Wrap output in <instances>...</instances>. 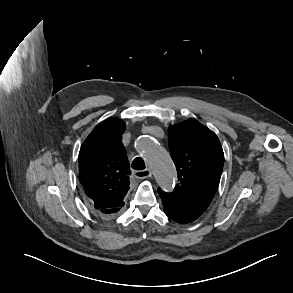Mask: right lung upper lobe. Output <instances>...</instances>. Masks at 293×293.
Returning a JSON list of instances; mask_svg holds the SVG:
<instances>
[{
  "instance_id": "cb5924a9",
  "label": "right lung upper lobe",
  "mask_w": 293,
  "mask_h": 293,
  "mask_svg": "<svg viewBox=\"0 0 293 293\" xmlns=\"http://www.w3.org/2000/svg\"><path fill=\"white\" fill-rule=\"evenodd\" d=\"M125 124L120 119L100 123L79 152V177L94 210L120 209L129 190V163L122 145Z\"/></svg>"
}]
</instances>
